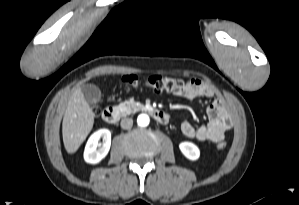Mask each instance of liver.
<instances>
[{
    "instance_id": "1",
    "label": "liver",
    "mask_w": 299,
    "mask_h": 205,
    "mask_svg": "<svg viewBox=\"0 0 299 205\" xmlns=\"http://www.w3.org/2000/svg\"><path fill=\"white\" fill-rule=\"evenodd\" d=\"M94 113L81 88L72 93L62 123L63 143L68 153H74L93 128Z\"/></svg>"
}]
</instances>
